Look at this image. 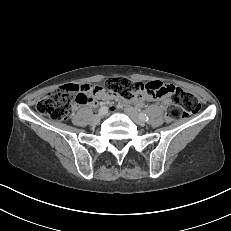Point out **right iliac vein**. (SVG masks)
<instances>
[{
    "label": "right iliac vein",
    "instance_id": "1",
    "mask_svg": "<svg viewBox=\"0 0 231 231\" xmlns=\"http://www.w3.org/2000/svg\"><path fill=\"white\" fill-rule=\"evenodd\" d=\"M106 113H107V112H105V113H99V114L95 115V116L93 117V119H92L93 124L99 123L100 120H101V118H102Z\"/></svg>",
    "mask_w": 231,
    "mask_h": 231
}]
</instances>
